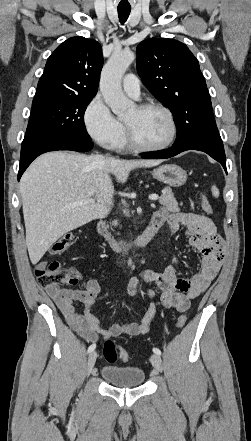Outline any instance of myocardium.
<instances>
[{
    "mask_svg": "<svg viewBox=\"0 0 251 441\" xmlns=\"http://www.w3.org/2000/svg\"><path fill=\"white\" fill-rule=\"evenodd\" d=\"M136 107L140 111H144V110H148V109H159L162 112H164L170 122L171 133H170L169 138L163 144H160L157 146H148V145L141 143L137 139V137L135 136L131 127L126 122H124L126 139L129 143V145L131 147H133L134 149H136L138 151H143V152L162 151V150L167 149L169 146H171L172 143L176 139L177 131H178L177 123H176V120H175V117H174V114L172 113V111L168 107H166L165 105L158 103V102H143V103L138 104Z\"/></svg>",
    "mask_w": 251,
    "mask_h": 441,
    "instance_id": "1",
    "label": "myocardium"
}]
</instances>
